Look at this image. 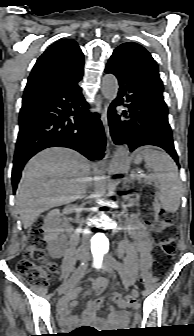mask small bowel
Returning <instances> with one entry per match:
<instances>
[{
  "label": "small bowel",
  "mask_w": 194,
  "mask_h": 336,
  "mask_svg": "<svg viewBox=\"0 0 194 336\" xmlns=\"http://www.w3.org/2000/svg\"><path fill=\"white\" fill-rule=\"evenodd\" d=\"M129 232L132 237V243L137 251L139 258H131V264L133 266L139 264L143 273H149L151 267V241L150 236L147 231L145 224L139 220L137 217H132L129 224ZM108 280L106 278L99 279L94 284V292L96 295H100L103 290L108 286ZM112 298L120 305L123 304L122 297L119 293L115 292L112 294ZM104 302L102 297L97 298L95 300L89 301L86 309L83 313V321L88 324H92L94 322L95 311L99 309ZM74 306L73 298H65L60 303V311L59 317L61 322L64 325L70 326L79 322L78 319L72 317L71 308ZM126 317L122 314H119L115 311V309L111 306L109 307V315L107 322L109 324H114L119 320H125Z\"/></svg>",
  "instance_id": "c3829d8e"
}]
</instances>
